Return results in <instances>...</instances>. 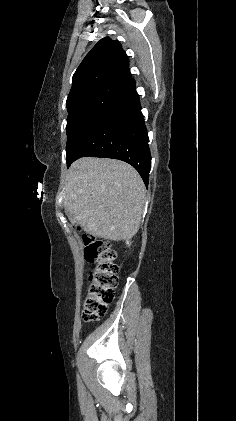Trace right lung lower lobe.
<instances>
[{
	"instance_id": "obj_1",
	"label": "right lung lower lobe",
	"mask_w": 236,
	"mask_h": 421,
	"mask_svg": "<svg viewBox=\"0 0 236 421\" xmlns=\"http://www.w3.org/2000/svg\"><path fill=\"white\" fill-rule=\"evenodd\" d=\"M122 87L129 96L80 142L67 165L84 156L119 159L132 165L147 186L151 155L135 80L130 77Z\"/></svg>"
}]
</instances>
